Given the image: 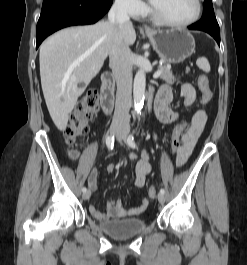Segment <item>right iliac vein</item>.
<instances>
[{"instance_id":"obj_1","label":"right iliac vein","mask_w":247,"mask_h":265,"mask_svg":"<svg viewBox=\"0 0 247 265\" xmlns=\"http://www.w3.org/2000/svg\"><path fill=\"white\" fill-rule=\"evenodd\" d=\"M120 132H121V128L120 127L113 126V127L110 128V134L111 135L119 134ZM90 196H91V192L90 191H86L82 195L84 200H89Z\"/></svg>"}]
</instances>
